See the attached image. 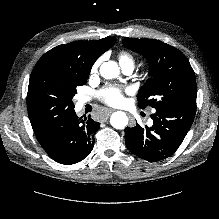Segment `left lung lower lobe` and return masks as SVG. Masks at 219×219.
<instances>
[{"label":"left lung lower lobe","instance_id":"obj_1","mask_svg":"<svg viewBox=\"0 0 219 219\" xmlns=\"http://www.w3.org/2000/svg\"><path fill=\"white\" fill-rule=\"evenodd\" d=\"M196 113V102L171 108H158L151 115L153 125L125 128V143L136 156L149 162L171 156L181 145Z\"/></svg>","mask_w":219,"mask_h":219}]
</instances>
